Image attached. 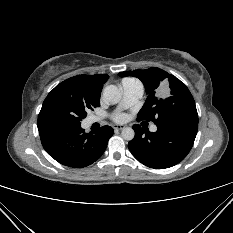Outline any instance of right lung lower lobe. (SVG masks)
Returning a JSON list of instances; mask_svg holds the SVG:
<instances>
[{"label":"right lung lower lobe","mask_w":233,"mask_h":233,"mask_svg":"<svg viewBox=\"0 0 233 233\" xmlns=\"http://www.w3.org/2000/svg\"><path fill=\"white\" fill-rule=\"evenodd\" d=\"M113 132L110 126L90 133H85L81 126L66 130L53 127L39 130L46 152L59 163L74 168L85 167L98 160Z\"/></svg>","instance_id":"right-lung-lower-lobe-1"}]
</instances>
